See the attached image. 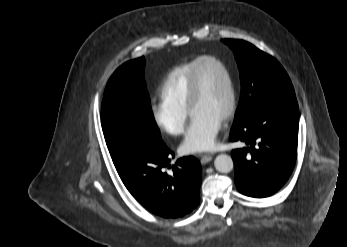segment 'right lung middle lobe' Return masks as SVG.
Masks as SVG:
<instances>
[{"label":"right lung middle lobe","mask_w":347,"mask_h":247,"mask_svg":"<svg viewBox=\"0 0 347 247\" xmlns=\"http://www.w3.org/2000/svg\"><path fill=\"white\" fill-rule=\"evenodd\" d=\"M144 65V57L124 63L106 86L101 125L110 154L127 138L139 139L153 148L163 144L143 78Z\"/></svg>","instance_id":"obj_1"}]
</instances>
